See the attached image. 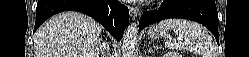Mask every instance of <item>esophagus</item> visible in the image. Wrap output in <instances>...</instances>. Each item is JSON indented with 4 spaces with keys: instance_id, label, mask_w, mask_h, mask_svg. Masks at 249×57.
Returning a JSON list of instances; mask_svg holds the SVG:
<instances>
[{
    "instance_id": "1",
    "label": "esophagus",
    "mask_w": 249,
    "mask_h": 57,
    "mask_svg": "<svg viewBox=\"0 0 249 57\" xmlns=\"http://www.w3.org/2000/svg\"><path fill=\"white\" fill-rule=\"evenodd\" d=\"M129 12H130V16H131L132 18H135V17H137V16L139 15L140 10H139L138 7H130V8H129Z\"/></svg>"
}]
</instances>
